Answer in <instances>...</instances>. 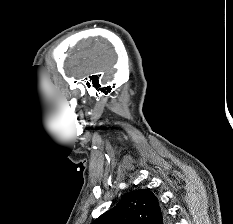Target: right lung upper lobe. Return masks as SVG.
Returning <instances> with one entry per match:
<instances>
[{"mask_svg":"<svg viewBox=\"0 0 233 224\" xmlns=\"http://www.w3.org/2000/svg\"><path fill=\"white\" fill-rule=\"evenodd\" d=\"M164 210L158 199L148 189L126 194L110 211H107L92 224H167Z\"/></svg>","mask_w":233,"mask_h":224,"instance_id":"obj_1","label":"right lung upper lobe"}]
</instances>
